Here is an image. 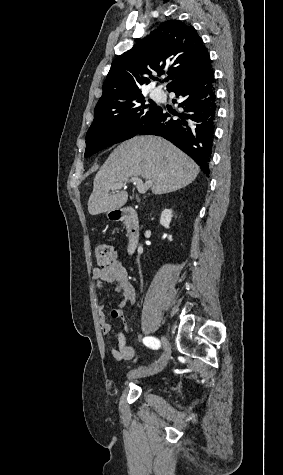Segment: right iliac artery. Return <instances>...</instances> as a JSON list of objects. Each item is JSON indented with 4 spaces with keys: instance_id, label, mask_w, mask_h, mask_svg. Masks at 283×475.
Returning <instances> with one entry per match:
<instances>
[{
    "instance_id": "82829eb1",
    "label": "right iliac artery",
    "mask_w": 283,
    "mask_h": 475,
    "mask_svg": "<svg viewBox=\"0 0 283 475\" xmlns=\"http://www.w3.org/2000/svg\"><path fill=\"white\" fill-rule=\"evenodd\" d=\"M143 343L152 349H158L160 347V341L154 337H145Z\"/></svg>"
}]
</instances>
